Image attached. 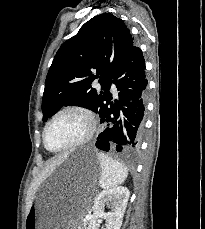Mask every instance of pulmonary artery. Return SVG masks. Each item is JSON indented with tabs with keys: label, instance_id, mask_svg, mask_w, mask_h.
Segmentation results:
<instances>
[{
	"label": "pulmonary artery",
	"instance_id": "e3ab8cb5",
	"mask_svg": "<svg viewBox=\"0 0 205 229\" xmlns=\"http://www.w3.org/2000/svg\"><path fill=\"white\" fill-rule=\"evenodd\" d=\"M110 89H111V91H112V92H114V93L116 92V87H115V85H114V84H111Z\"/></svg>",
	"mask_w": 205,
	"mask_h": 229
}]
</instances>
